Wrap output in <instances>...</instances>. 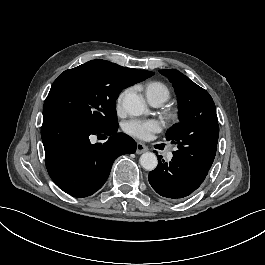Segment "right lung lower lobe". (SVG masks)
Listing matches in <instances>:
<instances>
[{"instance_id": "right-lung-lower-lobe-1", "label": "right lung lower lobe", "mask_w": 265, "mask_h": 265, "mask_svg": "<svg viewBox=\"0 0 265 265\" xmlns=\"http://www.w3.org/2000/svg\"><path fill=\"white\" fill-rule=\"evenodd\" d=\"M117 130L98 132L64 115L43 114L41 137L46 168L54 183L74 197H87L99 190L114 160L136 151V142ZM93 135L110 137L103 144H93Z\"/></svg>"}]
</instances>
